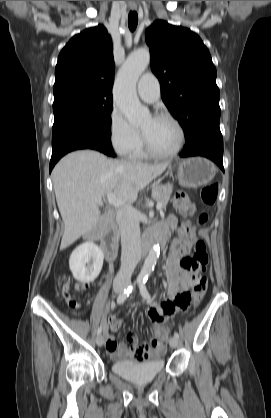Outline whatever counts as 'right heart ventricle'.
Listing matches in <instances>:
<instances>
[{"mask_svg":"<svg viewBox=\"0 0 271 418\" xmlns=\"http://www.w3.org/2000/svg\"><path fill=\"white\" fill-rule=\"evenodd\" d=\"M133 159H143L147 156L142 144V139L140 144L136 147V149L129 155Z\"/></svg>","mask_w":271,"mask_h":418,"instance_id":"obj_1","label":"right heart ventricle"}]
</instances>
